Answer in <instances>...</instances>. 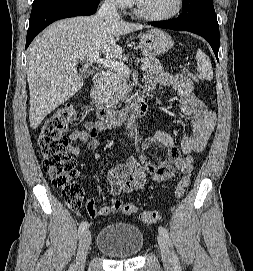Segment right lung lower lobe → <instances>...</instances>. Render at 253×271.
I'll list each match as a JSON object with an SVG mask.
<instances>
[{"mask_svg":"<svg viewBox=\"0 0 253 271\" xmlns=\"http://www.w3.org/2000/svg\"><path fill=\"white\" fill-rule=\"evenodd\" d=\"M99 2L92 3L87 0L60 4L44 9L33 16H30L29 28L27 31L26 48L31 41L45 27L52 22L80 15H92L96 12Z\"/></svg>","mask_w":253,"mask_h":271,"instance_id":"1","label":"right lung lower lobe"}]
</instances>
